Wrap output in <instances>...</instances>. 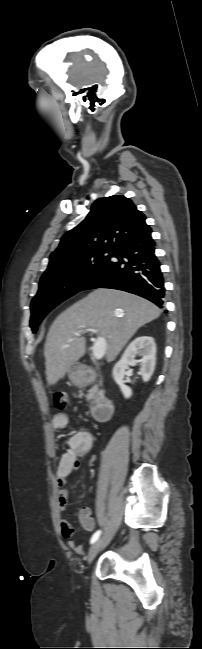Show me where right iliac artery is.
<instances>
[{
  "label": "right iliac artery",
  "instance_id": "82829eb1",
  "mask_svg": "<svg viewBox=\"0 0 202 649\" xmlns=\"http://www.w3.org/2000/svg\"><path fill=\"white\" fill-rule=\"evenodd\" d=\"M100 535H101V531L100 530L96 531L93 534V536L91 537V540H90L91 544H93L95 541H97L98 538L100 537Z\"/></svg>",
  "mask_w": 202,
  "mask_h": 649
}]
</instances>
